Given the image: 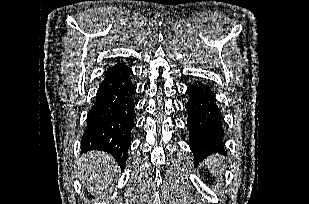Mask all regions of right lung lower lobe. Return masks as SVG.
Wrapping results in <instances>:
<instances>
[{
  "instance_id": "1",
  "label": "right lung lower lobe",
  "mask_w": 309,
  "mask_h": 204,
  "mask_svg": "<svg viewBox=\"0 0 309 204\" xmlns=\"http://www.w3.org/2000/svg\"><path fill=\"white\" fill-rule=\"evenodd\" d=\"M126 66L108 69L88 113L81 150L105 151L125 168L134 126L135 86Z\"/></svg>"
}]
</instances>
